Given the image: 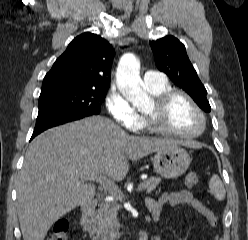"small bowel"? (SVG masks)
<instances>
[{
  "mask_svg": "<svg viewBox=\"0 0 248 240\" xmlns=\"http://www.w3.org/2000/svg\"><path fill=\"white\" fill-rule=\"evenodd\" d=\"M146 204L155 221L160 219L165 205L176 207L187 204L196 210L203 218H205L212 227H216L218 224V218L216 215L188 191L163 193L157 199L148 198ZM152 240L160 239L155 237ZM215 240L221 239L216 237Z\"/></svg>",
  "mask_w": 248,
  "mask_h": 240,
  "instance_id": "obj_1",
  "label": "small bowel"
}]
</instances>
